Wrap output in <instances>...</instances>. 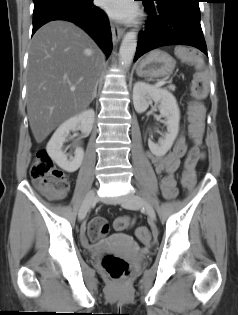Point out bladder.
Listing matches in <instances>:
<instances>
[{"label": "bladder", "instance_id": "1", "mask_svg": "<svg viewBox=\"0 0 238 315\" xmlns=\"http://www.w3.org/2000/svg\"><path fill=\"white\" fill-rule=\"evenodd\" d=\"M111 249H131V248H111Z\"/></svg>", "mask_w": 238, "mask_h": 315}]
</instances>
